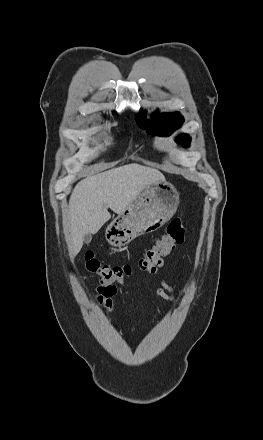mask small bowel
<instances>
[{
  "mask_svg": "<svg viewBox=\"0 0 263 440\" xmlns=\"http://www.w3.org/2000/svg\"><path fill=\"white\" fill-rule=\"evenodd\" d=\"M174 288L167 284L164 280L161 281L160 287L157 289V294L165 300L172 301L174 299ZM99 295V302L104 303L107 308H111L112 298L116 293L115 287L101 286L97 289Z\"/></svg>",
  "mask_w": 263,
  "mask_h": 440,
  "instance_id": "1",
  "label": "small bowel"
}]
</instances>
